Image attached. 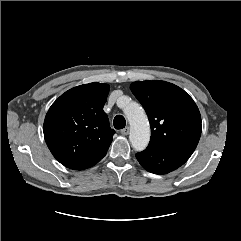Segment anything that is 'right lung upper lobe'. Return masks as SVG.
I'll list each match as a JSON object with an SVG mask.
<instances>
[{
  "instance_id": "obj_1",
  "label": "right lung upper lobe",
  "mask_w": 241,
  "mask_h": 241,
  "mask_svg": "<svg viewBox=\"0 0 241 241\" xmlns=\"http://www.w3.org/2000/svg\"><path fill=\"white\" fill-rule=\"evenodd\" d=\"M109 85L93 82L62 94L46 114L44 138L53 156L75 168L105 156L115 133L103 111Z\"/></svg>"
}]
</instances>
